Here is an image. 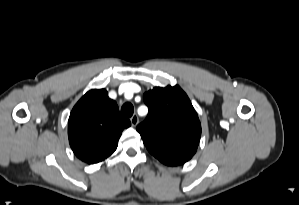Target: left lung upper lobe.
<instances>
[{
  "instance_id": "obj_1",
  "label": "left lung upper lobe",
  "mask_w": 299,
  "mask_h": 205,
  "mask_svg": "<svg viewBox=\"0 0 299 205\" xmlns=\"http://www.w3.org/2000/svg\"><path fill=\"white\" fill-rule=\"evenodd\" d=\"M144 102L149 113L137 131L147 148L198 147L201 124L188 96L178 85L155 87L144 94Z\"/></svg>"
}]
</instances>
